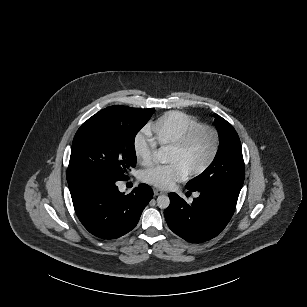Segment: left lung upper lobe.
Listing matches in <instances>:
<instances>
[{
	"instance_id": "1",
	"label": "left lung upper lobe",
	"mask_w": 307,
	"mask_h": 307,
	"mask_svg": "<svg viewBox=\"0 0 307 307\" xmlns=\"http://www.w3.org/2000/svg\"><path fill=\"white\" fill-rule=\"evenodd\" d=\"M215 117L220 139L217 154L210 166L186 187L190 191H222L238 197L245 174L240 139L229 122L218 115Z\"/></svg>"
}]
</instances>
